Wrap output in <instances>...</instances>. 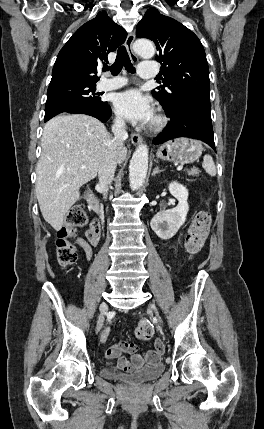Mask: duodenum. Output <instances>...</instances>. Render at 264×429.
<instances>
[{
	"instance_id": "1",
	"label": "duodenum",
	"mask_w": 264,
	"mask_h": 429,
	"mask_svg": "<svg viewBox=\"0 0 264 429\" xmlns=\"http://www.w3.org/2000/svg\"><path fill=\"white\" fill-rule=\"evenodd\" d=\"M86 200L88 202L89 208L99 216L102 211L101 205L98 198L91 190L86 192Z\"/></svg>"
}]
</instances>
